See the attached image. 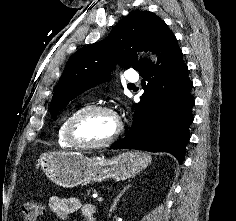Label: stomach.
Returning <instances> with one entry per match:
<instances>
[{"label":"stomach","instance_id":"stomach-1","mask_svg":"<svg viewBox=\"0 0 236 221\" xmlns=\"http://www.w3.org/2000/svg\"><path fill=\"white\" fill-rule=\"evenodd\" d=\"M150 162L148 154L137 151L123 152L111 158L86 157L79 152H52L43 154L38 165L57 185L73 188L109 178L117 181L129 179L146 168Z\"/></svg>","mask_w":236,"mask_h":221}]
</instances>
